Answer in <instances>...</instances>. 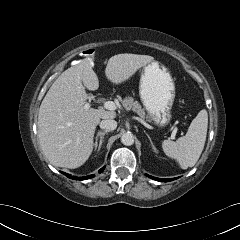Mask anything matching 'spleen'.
Listing matches in <instances>:
<instances>
[{
    "instance_id": "3e777b00",
    "label": "spleen",
    "mask_w": 240,
    "mask_h": 240,
    "mask_svg": "<svg viewBox=\"0 0 240 240\" xmlns=\"http://www.w3.org/2000/svg\"><path fill=\"white\" fill-rule=\"evenodd\" d=\"M208 128V114L205 109L201 110L191 122L185 136L176 142L164 140L162 148L164 153L175 159L182 169L193 167L205 145Z\"/></svg>"
}]
</instances>
